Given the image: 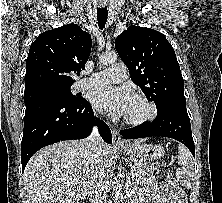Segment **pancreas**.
Wrapping results in <instances>:
<instances>
[{"label":"pancreas","instance_id":"pancreas-1","mask_svg":"<svg viewBox=\"0 0 222 203\" xmlns=\"http://www.w3.org/2000/svg\"><path fill=\"white\" fill-rule=\"evenodd\" d=\"M133 166L135 167V169L132 170V176L136 181H140L145 177L151 176L154 171H157V173H159V165L149 163L147 161L135 160L133 162Z\"/></svg>","mask_w":222,"mask_h":203}]
</instances>
